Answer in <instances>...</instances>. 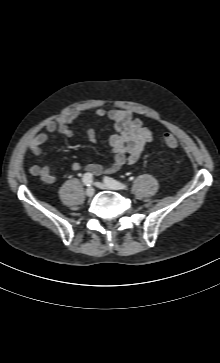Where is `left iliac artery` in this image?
<instances>
[{
	"label": "left iliac artery",
	"instance_id": "1",
	"mask_svg": "<svg viewBox=\"0 0 220 363\" xmlns=\"http://www.w3.org/2000/svg\"><path fill=\"white\" fill-rule=\"evenodd\" d=\"M104 182L112 187H117L119 189H126L127 188V185L126 184H123L113 178H110V177H104Z\"/></svg>",
	"mask_w": 220,
	"mask_h": 363
}]
</instances>
